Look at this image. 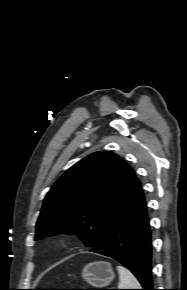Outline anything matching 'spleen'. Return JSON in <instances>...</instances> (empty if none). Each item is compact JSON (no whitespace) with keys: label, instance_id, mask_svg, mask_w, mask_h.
I'll return each mask as SVG.
<instances>
[{"label":"spleen","instance_id":"obj_1","mask_svg":"<svg viewBox=\"0 0 187 290\" xmlns=\"http://www.w3.org/2000/svg\"><path fill=\"white\" fill-rule=\"evenodd\" d=\"M117 270L119 272V289H140V284L136 277L124 266L118 265Z\"/></svg>","mask_w":187,"mask_h":290}]
</instances>
